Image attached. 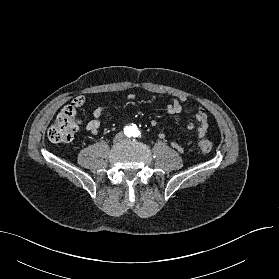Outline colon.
Wrapping results in <instances>:
<instances>
[{
    "instance_id": "1",
    "label": "colon",
    "mask_w": 279,
    "mask_h": 279,
    "mask_svg": "<svg viewBox=\"0 0 279 279\" xmlns=\"http://www.w3.org/2000/svg\"><path fill=\"white\" fill-rule=\"evenodd\" d=\"M82 103L83 100L77 98L58 114L48 131L50 141L54 143H68L73 140L80 125L77 111ZM197 146L198 150L204 154L209 153L212 149V143L207 137H202Z\"/></svg>"
}]
</instances>
